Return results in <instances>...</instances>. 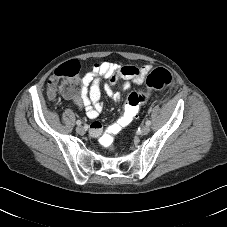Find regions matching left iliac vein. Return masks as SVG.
<instances>
[{
    "mask_svg": "<svg viewBox=\"0 0 227 227\" xmlns=\"http://www.w3.org/2000/svg\"><path fill=\"white\" fill-rule=\"evenodd\" d=\"M150 132V127L149 126H143L142 127V129H141V133L143 134V135H146V134H148Z\"/></svg>",
    "mask_w": 227,
    "mask_h": 227,
    "instance_id": "obj_1",
    "label": "left iliac vein"
}]
</instances>
